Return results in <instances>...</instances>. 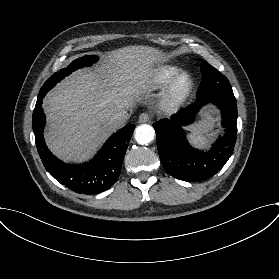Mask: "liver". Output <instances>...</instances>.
I'll use <instances>...</instances> for the list:
<instances>
[{
  "instance_id": "obj_1",
  "label": "liver",
  "mask_w": 279,
  "mask_h": 279,
  "mask_svg": "<svg viewBox=\"0 0 279 279\" xmlns=\"http://www.w3.org/2000/svg\"><path fill=\"white\" fill-rule=\"evenodd\" d=\"M165 53L149 46L111 51L95 69L74 72L43 100L46 144L65 162H84L118 128L112 114L132 108L148 88L151 66Z\"/></svg>"
}]
</instances>
